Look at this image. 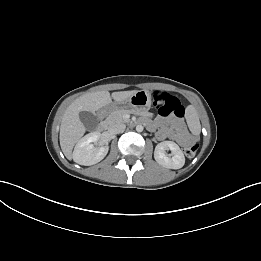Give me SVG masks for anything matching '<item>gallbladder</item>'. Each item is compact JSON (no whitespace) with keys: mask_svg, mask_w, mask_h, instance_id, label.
Returning <instances> with one entry per match:
<instances>
[{"mask_svg":"<svg viewBox=\"0 0 261 261\" xmlns=\"http://www.w3.org/2000/svg\"><path fill=\"white\" fill-rule=\"evenodd\" d=\"M79 118L86 129L95 130L98 125L97 116L89 111H81L79 113Z\"/></svg>","mask_w":261,"mask_h":261,"instance_id":"bac80fb5","label":"gallbladder"}]
</instances>
